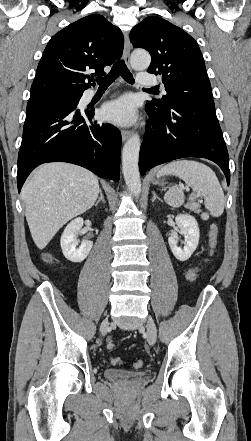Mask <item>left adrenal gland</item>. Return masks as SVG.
I'll list each match as a JSON object with an SVG mask.
<instances>
[{
    "instance_id": "left-adrenal-gland-1",
    "label": "left adrenal gland",
    "mask_w": 251,
    "mask_h": 441,
    "mask_svg": "<svg viewBox=\"0 0 251 441\" xmlns=\"http://www.w3.org/2000/svg\"><path fill=\"white\" fill-rule=\"evenodd\" d=\"M153 194V198H152V202H154L156 199L161 200L155 193V191H152Z\"/></svg>"
}]
</instances>
